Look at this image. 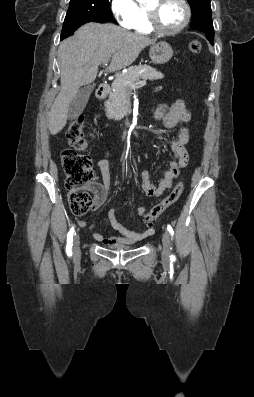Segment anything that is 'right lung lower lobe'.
<instances>
[{"instance_id": "obj_1", "label": "right lung lower lobe", "mask_w": 254, "mask_h": 397, "mask_svg": "<svg viewBox=\"0 0 254 397\" xmlns=\"http://www.w3.org/2000/svg\"><path fill=\"white\" fill-rule=\"evenodd\" d=\"M88 22H96V21H92L90 19H84V18L64 20L60 39L63 40L68 36L72 35L76 29H78L81 25ZM98 23H104V22H98Z\"/></svg>"}]
</instances>
